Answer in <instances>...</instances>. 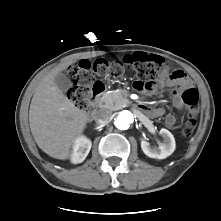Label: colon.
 Wrapping results in <instances>:
<instances>
[{
  "label": "colon",
  "mask_w": 221,
  "mask_h": 221,
  "mask_svg": "<svg viewBox=\"0 0 221 221\" xmlns=\"http://www.w3.org/2000/svg\"><path fill=\"white\" fill-rule=\"evenodd\" d=\"M163 65L164 61L160 56L147 53H136L126 63L104 59H98L94 62L80 61L68 68V76L71 81L68 98L78 108L86 109L94 76L121 77L127 67H131L136 74V88L150 90L158 82ZM180 96L188 107V115L183 125L182 133L184 136L189 137L194 132L197 123L199 94L196 88L183 86L180 88Z\"/></svg>",
  "instance_id": "1"
}]
</instances>
